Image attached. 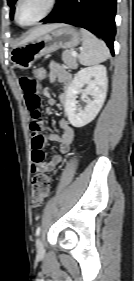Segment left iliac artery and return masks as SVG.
Listing matches in <instances>:
<instances>
[{
  "label": "left iliac artery",
  "instance_id": "obj_1",
  "mask_svg": "<svg viewBox=\"0 0 134 281\" xmlns=\"http://www.w3.org/2000/svg\"><path fill=\"white\" fill-rule=\"evenodd\" d=\"M40 231H41V227H40V226H38V227H37V229H36V236H39Z\"/></svg>",
  "mask_w": 134,
  "mask_h": 281
}]
</instances>
